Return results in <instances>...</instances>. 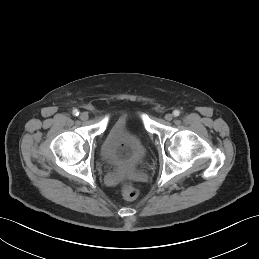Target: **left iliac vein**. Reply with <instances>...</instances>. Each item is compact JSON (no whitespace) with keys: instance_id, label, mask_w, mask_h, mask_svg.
<instances>
[{"instance_id":"1","label":"left iliac vein","mask_w":259,"mask_h":259,"mask_svg":"<svg viewBox=\"0 0 259 259\" xmlns=\"http://www.w3.org/2000/svg\"><path fill=\"white\" fill-rule=\"evenodd\" d=\"M172 119H173V115H172L171 113H167V114L165 115V120L171 121Z\"/></svg>"}]
</instances>
